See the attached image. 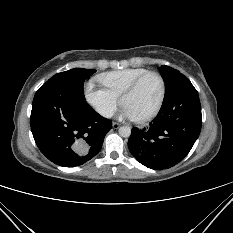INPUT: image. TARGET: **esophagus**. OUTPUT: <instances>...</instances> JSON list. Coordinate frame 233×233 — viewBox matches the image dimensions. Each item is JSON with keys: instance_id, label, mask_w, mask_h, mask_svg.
Wrapping results in <instances>:
<instances>
[{"instance_id": "1", "label": "esophagus", "mask_w": 233, "mask_h": 233, "mask_svg": "<svg viewBox=\"0 0 233 233\" xmlns=\"http://www.w3.org/2000/svg\"><path fill=\"white\" fill-rule=\"evenodd\" d=\"M112 126L114 129H118L120 127V124L117 122H113Z\"/></svg>"}]
</instances>
